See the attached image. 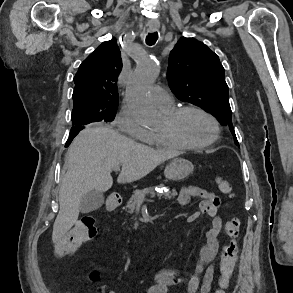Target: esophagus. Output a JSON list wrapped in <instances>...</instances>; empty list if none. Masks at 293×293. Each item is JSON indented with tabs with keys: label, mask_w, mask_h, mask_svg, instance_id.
<instances>
[{
	"label": "esophagus",
	"mask_w": 293,
	"mask_h": 293,
	"mask_svg": "<svg viewBox=\"0 0 293 293\" xmlns=\"http://www.w3.org/2000/svg\"><path fill=\"white\" fill-rule=\"evenodd\" d=\"M149 30L153 32V31L156 30V27H155V26H150V27H149Z\"/></svg>",
	"instance_id": "1"
}]
</instances>
